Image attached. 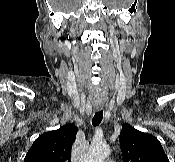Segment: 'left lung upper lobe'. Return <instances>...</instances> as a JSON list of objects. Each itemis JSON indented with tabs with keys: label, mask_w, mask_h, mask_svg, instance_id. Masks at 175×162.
Segmentation results:
<instances>
[{
	"label": "left lung upper lobe",
	"mask_w": 175,
	"mask_h": 162,
	"mask_svg": "<svg viewBox=\"0 0 175 162\" xmlns=\"http://www.w3.org/2000/svg\"><path fill=\"white\" fill-rule=\"evenodd\" d=\"M125 162H169L160 142L151 134L123 124L119 136Z\"/></svg>",
	"instance_id": "5c2ea615"
}]
</instances>
